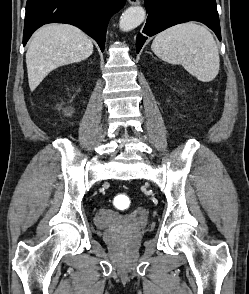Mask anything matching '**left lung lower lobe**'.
Wrapping results in <instances>:
<instances>
[{"mask_svg": "<svg viewBox=\"0 0 249 294\" xmlns=\"http://www.w3.org/2000/svg\"><path fill=\"white\" fill-rule=\"evenodd\" d=\"M148 18L136 40L139 53L147 36H153L173 25L199 21L207 25L221 40L220 23L215 0H145Z\"/></svg>", "mask_w": 249, "mask_h": 294, "instance_id": "0a47b994", "label": "left lung lower lobe"}]
</instances>
